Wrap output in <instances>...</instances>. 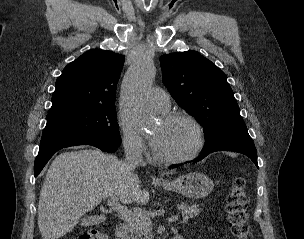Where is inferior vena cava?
<instances>
[{
    "label": "inferior vena cava",
    "mask_w": 304,
    "mask_h": 239,
    "mask_svg": "<svg viewBox=\"0 0 304 239\" xmlns=\"http://www.w3.org/2000/svg\"><path fill=\"white\" fill-rule=\"evenodd\" d=\"M125 163L130 171H133L138 166H144L145 162L143 160L142 151L139 146L133 143H125Z\"/></svg>",
    "instance_id": "inferior-vena-cava-1"
}]
</instances>
